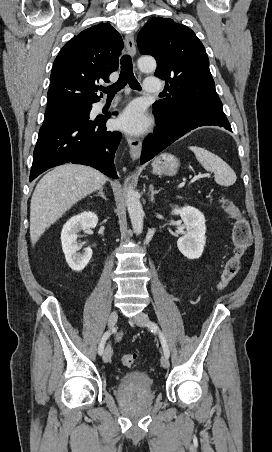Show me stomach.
<instances>
[{"instance_id": "obj_1", "label": "stomach", "mask_w": 272, "mask_h": 452, "mask_svg": "<svg viewBox=\"0 0 272 452\" xmlns=\"http://www.w3.org/2000/svg\"><path fill=\"white\" fill-rule=\"evenodd\" d=\"M179 167V160L171 154H161L152 162V172L157 175L173 176Z\"/></svg>"}]
</instances>
